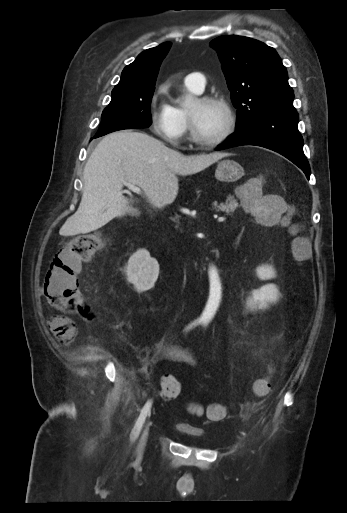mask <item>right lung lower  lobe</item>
<instances>
[{
    "label": "right lung lower lobe",
    "instance_id": "obj_1",
    "mask_svg": "<svg viewBox=\"0 0 347 513\" xmlns=\"http://www.w3.org/2000/svg\"><path fill=\"white\" fill-rule=\"evenodd\" d=\"M97 137H99V136H97V135L94 136V138H97Z\"/></svg>",
    "mask_w": 347,
    "mask_h": 513
}]
</instances>
